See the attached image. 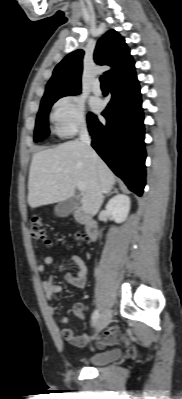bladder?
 Returning a JSON list of instances; mask_svg holds the SVG:
<instances>
[{
    "label": "bladder",
    "instance_id": "1",
    "mask_svg": "<svg viewBox=\"0 0 182 399\" xmlns=\"http://www.w3.org/2000/svg\"><path fill=\"white\" fill-rule=\"evenodd\" d=\"M122 355V350L113 349L99 352L87 358L86 362L91 366H101L118 360Z\"/></svg>",
    "mask_w": 182,
    "mask_h": 399
}]
</instances>
